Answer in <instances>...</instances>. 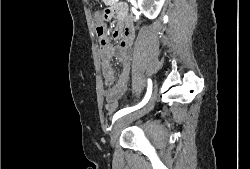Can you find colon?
Instances as JSON below:
<instances>
[{"label": "colon", "instance_id": "5ec220e1", "mask_svg": "<svg viewBox=\"0 0 250 169\" xmlns=\"http://www.w3.org/2000/svg\"><path fill=\"white\" fill-rule=\"evenodd\" d=\"M95 37H100V49H105V32L103 26H95ZM110 95V94H109ZM107 108H117L115 97H107Z\"/></svg>", "mask_w": 250, "mask_h": 169}]
</instances>
